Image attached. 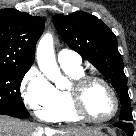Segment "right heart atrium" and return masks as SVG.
Masks as SVG:
<instances>
[{
  "label": "right heart atrium",
  "mask_w": 136,
  "mask_h": 136,
  "mask_svg": "<svg viewBox=\"0 0 136 136\" xmlns=\"http://www.w3.org/2000/svg\"><path fill=\"white\" fill-rule=\"evenodd\" d=\"M21 93L27 108L39 119L48 121L58 107L56 89L36 68L25 74Z\"/></svg>",
  "instance_id": "1"
}]
</instances>
